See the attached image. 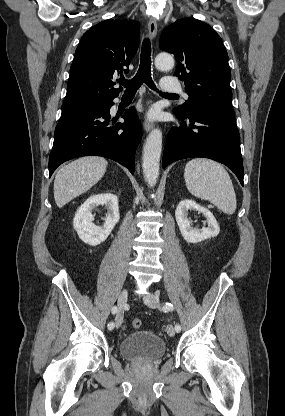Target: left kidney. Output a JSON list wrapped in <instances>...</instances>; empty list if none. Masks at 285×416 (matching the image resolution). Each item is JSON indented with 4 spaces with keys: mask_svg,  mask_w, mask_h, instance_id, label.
Wrapping results in <instances>:
<instances>
[{
    "mask_svg": "<svg viewBox=\"0 0 285 416\" xmlns=\"http://www.w3.org/2000/svg\"><path fill=\"white\" fill-rule=\"evenodd\" d=\"M188 210H196V212H201L205 218H207V228H201V230H193L191 228L190 220H188ZM176 222L179 226V230L186 242L189 244H197V242H202V240H208V238H215L220 232V228L211 212L207 208H202L193 200H182L178 204L175 212Z\"/></svg>",
    "mask_w": 285,
    "mask_h": 416,
    "instance_id": "1",
    "label": "left kidney"
}]
</instances>
